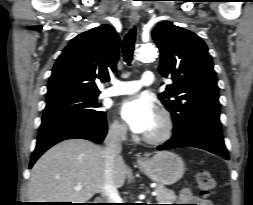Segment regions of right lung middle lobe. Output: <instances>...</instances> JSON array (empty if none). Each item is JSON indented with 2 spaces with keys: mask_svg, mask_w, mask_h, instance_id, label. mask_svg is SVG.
I'll return each instance as SVG.
<instances>
[{
  "mask_svg": "<svg viewBox=\"0 0 253 205\" xmlns=\"http://www.w3.org/2000/svg\"><path fill=\"white\" fill-rule=\"evenodd\" d=\"M98 95L69 96L47 101L43 118L69 116L82 119H101L105 113L98 110Z\"/></svg>",
  "mask_w": 253,
  "mask_h": 205,
  "instance_id": "obj_1",
  "label": "right lung middle lobe"
}]
</instances>
